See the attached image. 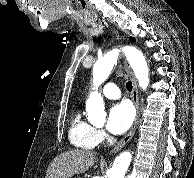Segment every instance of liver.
Masks as SVG:
<instances>
[{
    "label": "liver",
    "instance_id": "liver-1",
    "mask_svg": "<svg viewBox=\"0 0 194 178\" xmlns=\"http://www.w3.org/2000/svg\"><path fill=\"white\" fill-rule=\"evenodd\" d=\"M96 160V154L85 150H70L61 153L51 162L45 178H70L84 173Z\"/></svg>",
    "mask_w": 194,
    "mask_h": 178
}]
</instances>
